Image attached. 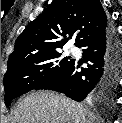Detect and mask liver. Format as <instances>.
<instances>
[{
	"instance_id": "1",
	"label": "liver",
	"mask_w": 122,
	"mask_h": 123,
	"mask_svg": "<svg viewBox=\"0 0 122 123\" xmlns=\"http://www.w3.org/2000/svg\"><path fill=\"white\" fill-rule=\"evenodd\" d=\"M83 104L53 91H33L20 99L12 111L11 123H95Z\"/></svg>"
}]
</instances>
